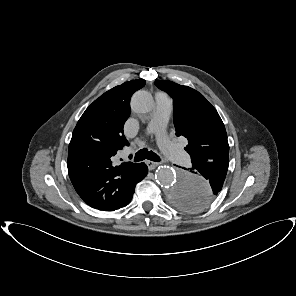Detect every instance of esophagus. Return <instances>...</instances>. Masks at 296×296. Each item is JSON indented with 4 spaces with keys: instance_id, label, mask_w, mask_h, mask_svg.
<instances>
[{
    "instance_id": "1",
    "label": "esophagus",
    "mask_w": 296,
    "mask_h": 296,
    "mask_svg": "<svg viewBox=\"0 0 296 296\" xmlns=\"http://www.w3.org/2000/svg\"><path fill=\"white\" fill-rule=\"evenodd\" d=\"M146 164L149 170H154L159 165V163L153 161H146Z\"/></svg>"
}]
</instances>
